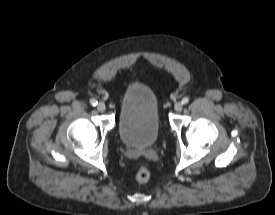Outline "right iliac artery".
<instances>
[{
    "mask_svg": "<svg viewBox=\"0 0 275 215\" xmlns=\"http://www.w3.org/2000/svg\"><path fill=\"white\" fill-rule=\"evenodd\" d=\"M90 104H91L92 106H96V105L98 104V102H97L96 99H91V100H90Z\"/></svg>",
    "mask_w": 275,
    "mask_h": 215,
    "instance_id": "82829eb1",
    "label": "right iliac artery"
}]
</instances>
